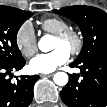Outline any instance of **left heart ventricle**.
Wrapping results in <instances>:
<instances>
[{
  "instance_id": "b2bd125f",
  "label": "left heart ventricle",
  "mask_w": 107,
  "mask_h": 107,
  "mask_svg": "<svg viewBox=\"0 0 107 107\" xmlns=\"http://www.w3.org/2000/svg\"><path fill=\"white\" fill-rule=\"evenodd\" d=\"M70 47H71V42H61L55 38L52 43V50L63 48L69 52Z\"/></svg>"
}]
</instances>
